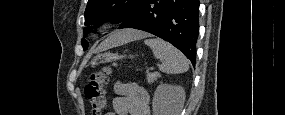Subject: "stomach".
Masks as SVG:
<instances>
[{
  "label": "stomach",
  "instance_id": "stomach-1",
  "mask_svg": "<svg viewBox=\"0 0 285 115\" xmlns=\"http://www.w3.org/2000/svg\"><path fill=\"white\" fill-rule=\"evenodd\" d=\"M126 56L124 55H119L117 53H105V54H101V55H97L92 61H91V65L95 66L98 63H106V62H110L112 60H118V59H122L125 58ZM130 58H132L133 56H129Z\"/></svg>",
  "mask_w": 285,
  "mask_h": 115
}]
</instances>
